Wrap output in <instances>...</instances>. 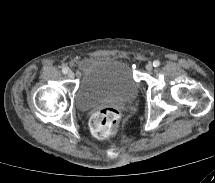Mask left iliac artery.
<instances>
[{"label": "left iliac artery", "instance_id": "1", "mask_svg": "<svg viewBox=\"0 0 215 183\" xmlns=\"http://www.w3.org/2000/svg\"><path fill=\"white\" fill-rule=\"evenodd\" d=\"M160 65V62L158 61V60H155L154 62H153V66L154 67H158Z\"/></svg>", "mask_w": 215, "mask_h": 183}]
</instances>
